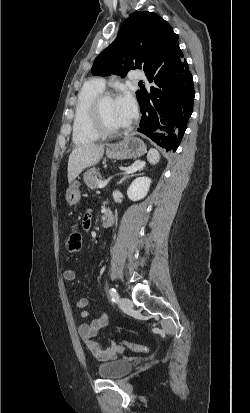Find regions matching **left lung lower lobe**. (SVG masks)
<instances>
[{"label":"left lung lower lobe","mask_w":250,"mask_h":413,"mask_svg":"<svg viewBox=\"0 0 250 413\" xmlns=\"http://www.w3.org/2000/svg\"><path fill=\"white\" fill-rule=\"evenodd\" d=\"M155 58V66L146 73L151 86L137 92L142 113L138 131L175 152L193 110V78L178 37L161 41Z\"/></svg>","instance_id":"obj_1"}]
</instances>
